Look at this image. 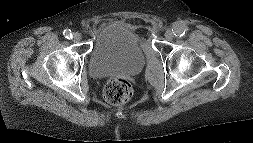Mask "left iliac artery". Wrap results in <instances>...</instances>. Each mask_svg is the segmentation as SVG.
<instances>
[{
  "instance_id": "1",
  "label": "left iliac artery",
  "mask_w": 253,
  "mask_h": 143,
  "mask_svg": "<svg viewBox=\"0 0 253 143\" xmlns=\"http://www.w3.org/2000/svg\"><path fill=\"white\" fill-rule=\"evenodd\" d=\"M172 30H173L175 36L182 37V36L185 35V33L187 31V28H185V27H179V26H174L172 28Z\"/></svg>"
}]
</instances>
